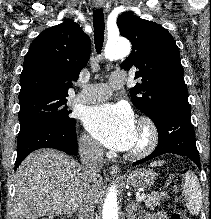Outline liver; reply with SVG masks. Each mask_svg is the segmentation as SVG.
Wrapping results in <instances>:
<instances>
[{
	"instance_id": "6515ba94",
	"label": "liver",
	"mask_w": 211,
	"mask_h": 219,
	"mask_svg": "<svg viewBox=\"0 0 211 219\" xmlns=\"http://www.w3.org/2000/svg\"><path fill=\"white\" fill-rule=\"evenodd\" d=\"M82 167L70 156L53 149L29 154L15 174L12 219H38L46 215H71L90 192L95 204L101 200L103 180L87 188Z\"/></svg>"
}]
</instances>
